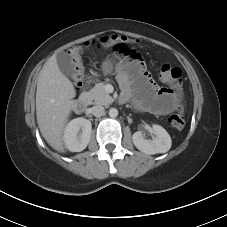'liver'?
I'll list each match as a JSON object with an SVG mask.
<instances>
[{
    "instance_id": "obj_1",
    "label": "liver",
    "mask_w": 227,
    "mask_h": 227,
    "mask_svg": "<svg viewBox=\"0 0 227 227\" xmlns=\"http://www.w3.org/2000/svg\"><path fill=\"white\" fill-rule=\"evenodd\" d=\"M71 81L60 71L56 56L41 69L36 91V117L39 130L47 143L60 153L66 152L63 131L75 105Z\"/></svg>"
}]
</instances>
